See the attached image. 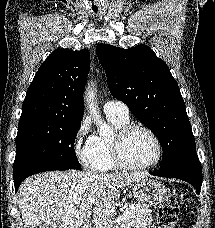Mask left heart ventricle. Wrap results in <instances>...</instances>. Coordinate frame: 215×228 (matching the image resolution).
<instances>
[{"mask_svg":"<svg viewBox=\"0 0 215 228\" xmlns=\"http://www.w3.org/2000/svg\"><path fill=\"white\" fill-rule=\"evenodd\" d=\"M122 152L130 165L139 166L154 158L155 145L145 131L135 129L125 139Z\"/></svg>","mask_w":215,"mask_h":228,"instance_id":"obj_1","label":"left heart ventricle"}]
</instances>
